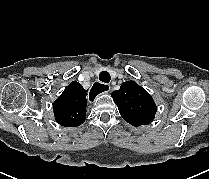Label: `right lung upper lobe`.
<instances>
[{"label": "right lung upper lobe", "mask_w": 209, "mask_h": 179, "mask_svg": "<svg viewBox=\"0 0 209 179\" xmlns=\"http://www.w3.org/2000/svg\"><path fill=\"white\" fill-rule=\"evenodd\" d=\"M87 92L76 81L71 82L53 104L55 120L65 127L81 125L86 118Z\"/></svg>", "instance_id": "right-lung-upper-lobe-1"}]
</instances>
